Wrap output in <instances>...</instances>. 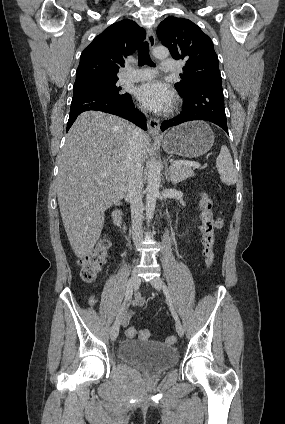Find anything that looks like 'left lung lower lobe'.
Returning <instances> with one entry per match:
<instances>
[{"label": "left lung lower lobe", "mask_w": 285, "mask_h": 424, "mask_svg": "<svg viewBox=\"0 0 285 424\" xmlns=\"http://www.w3.org/2000/svg\"><path fill=\"white\" fill-rule=\"evenodd\" d=\"M180 95L184 99L182 112L177 117L164 121L161 125L162 131L184 122L206 120L217 124L228 133L222 83H202Z\"/></svg>", "instance_id": "1"}]
</instances>
